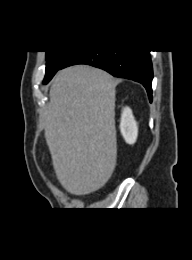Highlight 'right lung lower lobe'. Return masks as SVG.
<instances>
[{"instance_id":"obj_1","label":"right lung lower lobe","mask_w":192,"mask_h":260,"mask_svg":"<svg viewBox=\"0 0 192 260\" xmlns=\"http://www.w3.org/2000/svg\"><path fill=\"white\" fill-rule=\"evenodd\" d=\"M149 52L146 50L74 52L62 68L75 64H88L104 69L115 77L134 80L146 88L151 102L153 69Z\"/></svg>"}]
</instances>
